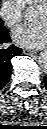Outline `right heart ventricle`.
I'll use <instances>...</instances> for the list:
<instances>
[{"label":"right heart ventricle","mask_w":47,"mask_h":129,"mask_svg":"<svg viewBox=\"0 0 47 129\" xmlns=\"http://www.w3.org/2000/svg\"><path fill=\"white\" fill-rule=\"evenodd\" d=\"M21 1L23 2L24 6L33 7L39 5L44 0H21Z\"/></svg>","instance_id":"right-heart-ventricle-1"}]
</instances>
